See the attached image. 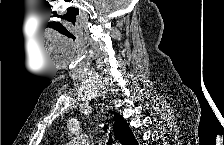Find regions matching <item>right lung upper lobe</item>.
Segmentation results:
<instances>
[{
  "instance_id": "obj_1",
  "label": "right lung upper lobe",
  "mask_w": 224,
  "mask_h": 145,
  "mask_svg": "<svg viewBox=\"0 0 224 145\" xmlns=\"http://www.w3.org/2000/svg\"><path fill=\"white\" fill-rule=\"evenodd\" d=\"M114 114V133L116 139H118L122 145H134L137 143L135 137L129 128L126 121L116 112H112Z\"/></svg>"
}]
</instances>
